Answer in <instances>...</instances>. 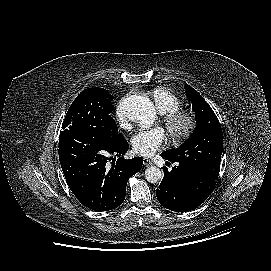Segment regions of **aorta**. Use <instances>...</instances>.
I'll return each mask as SVG.
<instances>
[{
  "label": "aorta",
  "instance_id": "1",
  "mask_svg": "<svg viewBox=\"0 0 271 271\" xmlns=\"http://www.w3.org/2000/svg\"><path fill=\"white\" fill-rule=\"evenodd\" d=\"M127 117L143 127H150L156 118L154 104L146 95H133L127 101ZM162 178V171L151 166L145 170V179L156 183Z\"/></svg>",
  "mask_w": 271,
  "mask_h": 271
}]
</instances>
